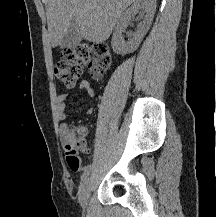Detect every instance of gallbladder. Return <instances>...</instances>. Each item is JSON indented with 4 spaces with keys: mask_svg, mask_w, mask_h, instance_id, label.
<instances>
[{
    "mask_svg": "<svg viewBox=\"0 0 216 217\" xmlns=\"http://www.w3.org/2000/svg\"><path fill=\"white\" fill-rule=\"evenodd\" d=\"M81 40L82 35L80 32V28L75 21H72L67 33L61 40L59 46L62 49L74 48L80 43Z\"/></svg>",
    "mask_w": 216,
    "mask_h": 217,
    "instance_id": "gallbladder-1",
    "label": "gallbladder"
}]
</instances>
